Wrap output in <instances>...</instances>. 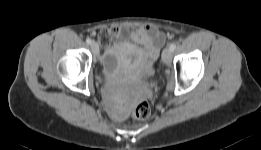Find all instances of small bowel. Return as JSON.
<instances>
[{"label":"small bowel","mask_w":261,"mask_h":150,"mask_svg":"<svg viewBox=\"0 0 261 150\" xmlns=\"http://www.w3.org/2000/svg\"><path fill=\"white\" fill-rule=\"evenodd\" d=\"M122 32L123 28L121 27L105 28L99 34V41L104 47H107L112 38L120 36ZM129 37L142 48L139 49L128 44L124 46L125 49H129L150 64L157 60L160 48L165 41V35L162 32L153 26L146 25L130 31Z\"/></svg>","instance_id":"obj_1"}]
</instances>
